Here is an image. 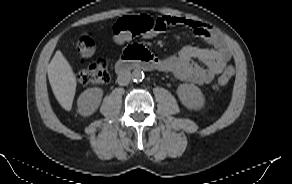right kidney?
Segmentation results:
<instances>
[{"mask_svg": "<svg viewBox=\"0 0 292 184\" xmlns=\"http://www.w3.org/2000/svg\"><path fill=\"white\" fill-rule=\"evenodd\" d=\"M103 96L101 88H88L78 98V112L83 116L93 114L99 107Z\"/></svg>", "mask_w": 292, "mask_h": 184, "instance_id": "ca27d5eb", "label": "right kidney"}]
</instances>
